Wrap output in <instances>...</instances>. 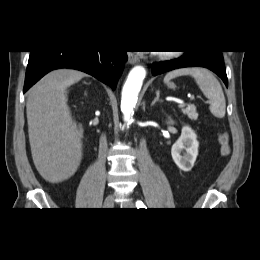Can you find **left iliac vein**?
Segmentation results:
<instances>
[{"label": "left iliac vein", "mask_w": 260, "mask_h": 260, "mask_svg": "<svg viewBox=\"0 0 260 260\" xmlns=\"http://www.w3.org/2000/svg\"><path fill=\"white\" fill-rule=\"evenodd\" d=\"M125 205L128 208H133L134 207V204L132 202H127Z\"/></svg>", "instance_id": "obj_1"}]
</instances>
